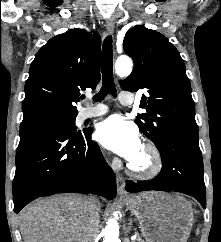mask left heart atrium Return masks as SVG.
Here are the masks:
<instances>
[{
	"label": "left heart atrium",
	"mask_w": 221,
	"mask_h": 242,
	"mask_svg": "<svg viewBox=\"0 0 221 242\" xmlns=\"http://www.w3.org/2000/svg\"><path fill=\"white\" fill-rule=\"evenodd\" d=\"M96 138L104 147L128 161H132L141 150V141L136 126L118 115L98 125Z\"/></svg>",
	"instance_id": "39dd6f15"
}]
</instances>
